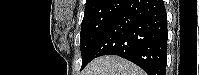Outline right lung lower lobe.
Segmentation results:
<instances>
[{
	"label": "right lung lower lobe",
	"instance_id": "1",
	"mask_svg": "<svg viewBox=\"0 0 199 75\" xmlns=\"http://www.w3.org/2000/svg\"><path fill=\"white\" fill-rule=\"evenodd\" d=\"M166 48L163 0H128L94 45L91 60L118 55L148 75H166Z\"/></svg>",
	"mask_w": 199,
	"mask_h": 75
}]
</instances>
